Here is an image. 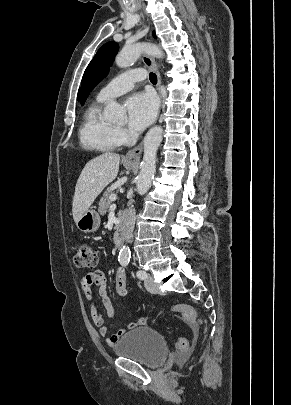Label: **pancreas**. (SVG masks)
I'll return each mask as SVG.
<instances>
[{
    "instance_id": "1",
    "label": "pancreas",
    "mask_w": 291,
    "mask_h": 405,
    "mask_svg": "<svg viewBox=\"0 0 291 405\" xmlns=\"http://www.w3.org/2000/svg\"><path fill=\"white\" fill-rule=\"evenodd\" d=\"M112 194H114L113 191H112V190H109V189L103 193V197L100 199L99 208H98V212H99L101 215H105L106 212L108 211L109 206H110V204H111L110 196H111ZM118 217H119V219L122 218V212H121V211H119ZM118 227H119V226L117 225V226L115 227V229H118Z\"/></svg>"
}]
</instances>
